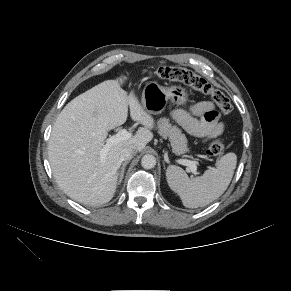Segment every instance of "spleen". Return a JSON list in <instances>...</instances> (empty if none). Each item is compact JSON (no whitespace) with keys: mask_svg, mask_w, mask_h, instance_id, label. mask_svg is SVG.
I'll return each mask as SVG.
<instances>
[{"mask_svg":"<svg viewBox=\"0 0 291 291\" xmlns=\"http://www.w3.org/2000/svg\"><path fill=\"white\" fill-rule=\"evenodd\" d=\"M237 164L234 153L222 156L202 176L190 179L186 172L171 165L167 168L166 177L169 187L177 193L187 208L203 207L218 199L229 186Z\"/></svg>","mask_w":291,"mask_h":291,"instance_id":"obj_1","label":"spleen"}]
</instances>
